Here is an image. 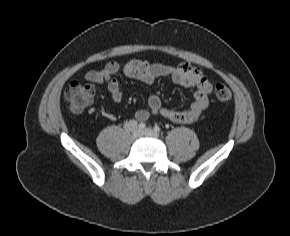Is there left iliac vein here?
Segmentation results:
<instances>
[{
	"mask_svg": "<svg viewBox=\"0 0 290 236\" xmlns=\"http://www.w3.org/2000/svg\"><path fill=\"white\" fill-rule=\"evenodd\" d=\"M143 134L145 136H149V137H154V138L158 137V133L156 131H154L153 129H151V128L145 129Z\"/></svg>",
	"mask_w": 290,
	"mask_h": 236,
	"instance_id": "obj_1",
	"label": "left iliac vein"
}]
</instances>
